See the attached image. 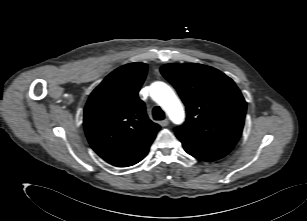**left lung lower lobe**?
I'll return each instance as SVG.
<instances>
[{
  "mask_svg": "<svg viewBox=\"0 0 307 221\" xmlns=\"http://www.w3.org/2000/svg\"><path fill=\"white\" fill-rule=\"evenodd\" d=\"M176 136L182 142L188 154L203 161L218 160L226 156L234 148L232 145L195 140L178 134Z\"/></svg>",
  "mask_w": 307,
  "mask_h": 221,
  "instance_id": "0a47b994",
  "label": "left lung lower lobe"
}]
</instances>
